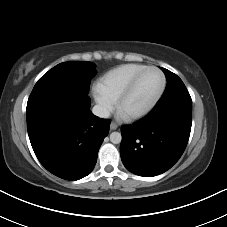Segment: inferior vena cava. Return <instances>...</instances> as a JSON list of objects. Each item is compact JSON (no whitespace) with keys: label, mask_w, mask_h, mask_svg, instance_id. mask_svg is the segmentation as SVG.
I'll list each match as a JSON object with an SVG mask.
<instances>
[{"label":"inferior vena cava","mask_w":227,"mask_h":227,"mask_svg":"<svg viewBox=\"0 0 227 227\" xmlns=\"http://www.w3.org/2000/svg\"><path fill=\"white\" fill-rule=\"evenodd\" d=\"M92 113L100 118H109L110 112L109 110L101 105H95L92 109Z\"/></svg>","instance_id":"obj_1"}]
</instances>
